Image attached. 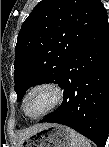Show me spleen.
<instances>
[{"mask_svg":"<svg viewBox=\"0 0 109 147\" xmlns=\"http://www.w3.org/2000/svg\"><path fill=\"white\" fill-rule=\"evenodd\" d=\"M70 137V147H91L86 138L74 130H71Z\"/></svg>","mask_w":109,"mask_h":147,"instance_id":"3e777b00","label":"spleen"}]
</instances>
